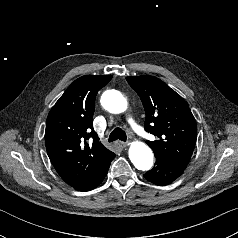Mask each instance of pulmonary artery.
Wrapping results in <instances>:
<instances>
[{"mask_svg":"<svg viewBox=\"0 0 238 238\" xmlns=\"http://www.w3.org/2000/svg\"><path fill=\"white\" fill-rule=\"evenodd\" d=\"M128 122L135 132L143 136L145 135L143 129L135 122V120L131 116L128 117Z\"/></svg>","mask_w":238,"mask_h":238,"instance_id":"1","label":"pulmonary artery"}]
</instances>
